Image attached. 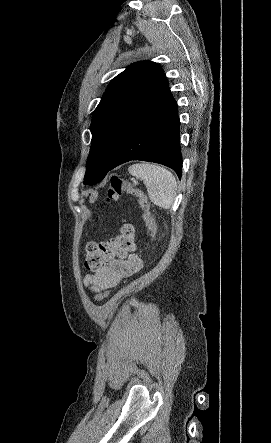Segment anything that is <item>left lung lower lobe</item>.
<instances>
[{
  "instance_id": "1",
  "label": "left lung lower lobe",
  "mask_w": 271,
  "mask_h": 443,
  "mask_svg": "<svg viewBox=\"0 0 271 443\" xmlns=\"http://www.w3.org/2000/svg\"><path fill=\"white\" fill-rule=\"evenodd\" d=\"M160 163L182 174L177 103L164 73L151 88L126 128L110 170L131 161Z\"/></svg>"
}]
</instances>
